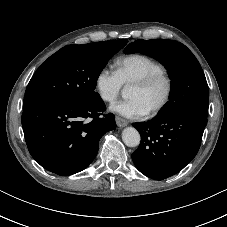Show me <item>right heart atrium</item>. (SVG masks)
I'll use <instances>...</instances> for the list:
<instances>
[{
	"label": "right heart atrium",
	"instance_id": "right-heart-atrium-1",
	"mask_svg": "<svg viewBox=\"0 0 227 227\" xmlns=\"http://www.w3.org/2000/svg\"><path fill=\"white\" fill-rule=\"evenodd\" d=\"M123 84L116 72L108 67L101 68L94 78V88L100 99L112 103L121 92Z\"/></svg>",
	"mask_w": 227,
	"mask_h": 227
}]
</instances>
